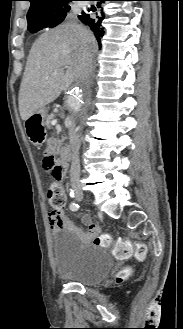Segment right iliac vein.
<instances>
[{
	"instance_id": "obj_1",
	"label": "right iliac vein",
	"mask_w": 183,
	"mask_h": 329,
	"mask_svg": "<svg viewBox=\"0 0 183 329\" xmlns=\"http://www.w3.org/2000/svg\"><path fill=\"white\" fill-rule=\"evenodd\" d=\"M83 197H84V193L83 192H78L77 198H83Z\"/></svg>"
}]
</instances>
